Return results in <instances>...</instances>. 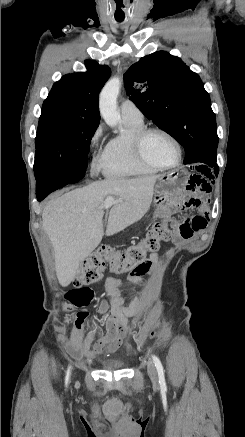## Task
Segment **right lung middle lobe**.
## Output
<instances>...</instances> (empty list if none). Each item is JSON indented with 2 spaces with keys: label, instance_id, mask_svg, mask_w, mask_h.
I'll use <instances>...</instances> for the list:
<instances>
[{
  "label": "right lung middle lobe",
  "instance_id": "right-lung-middle-lobe-1",
  "mask_svg": "<svg viewBox=\"0 0 245 437\" xmlns=\"http://www.w3.org/2000/svg\"><path fill=\"white\" fill-rule=\"evenodd\" d=\"M98 125L63 110L42 109L35 138V178L52 170L85 173Z\"/></svg>",
  "mask_w": 245,
  "mask_h": 437
}]
</instances>
